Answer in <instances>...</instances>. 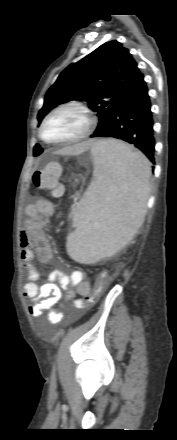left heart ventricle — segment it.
Segmentation results:
<instances>
[{"instance_id":"b2bd125f","label":"left heart ventricle","mask_w":177,"mask_h":440,"mask_svg":"<svg viewBox=\"0 0 177 440\" xmlns=\"http://www.w3.org/2000/svg\"><path fill=\"white\" fill-rule=\"evenodd\" d=\"M85 127L84 118L73 111H62L53 115L44 128L47 140L57 141L73 137Z\"/></svg>"}]
</instances>
